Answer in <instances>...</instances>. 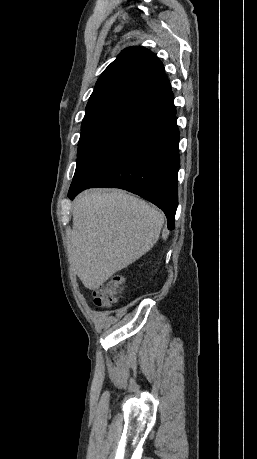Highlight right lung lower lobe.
I'll use <instances>...</instances> for the list:
<instances>
[{
  "instance_id": "obj_1",
  "label": "right lung lower lobe",
  "mask_w": 257,
  "mask_h": 459,
  "mask_svg": "<svg viewBox=\"0 0 257 459\" xmlns=\"http://www.w3.org/2000/svg\"><path fill=\"white\" fill-rule=\"evenodd\" d=\"M173 93L136 112L108 145L73 177L68 197L91 187L121 188L163 210L175 227L179 130Z\"/></svg>"
}]
</instances>
